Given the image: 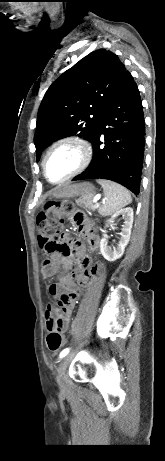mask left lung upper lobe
<instances>
[{
	"label": "left lung upper lobe",
	"instance_id": "1",
	"mask_svg": "<svg viewBox=\"0 0 165 461\" xmlns=\"http://www.w3.org/2000/svg\"><path fill=\"white\" fill-rule=\"evenodd\" d=\"M126 73L116 54L100 49L56 79L38 110L37 161L42 150L60 138L77 135L91 141Z\"/></svg>",
	"mask_w": 165,
	"mask_h": 461
}]
</instances>
